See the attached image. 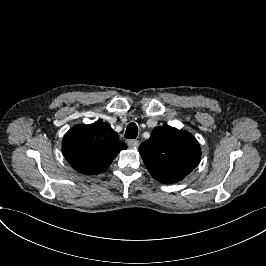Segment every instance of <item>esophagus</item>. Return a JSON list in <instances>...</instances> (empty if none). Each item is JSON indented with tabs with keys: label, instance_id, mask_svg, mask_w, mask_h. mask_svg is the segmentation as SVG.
Masks as SVG:
<instances>
[{
	"label": "esophagus",
	"instance_id": "esophagus-1",
	"mask_svg": "<svg viewBox=\"0 0 266 266\" xmlns=\"http://www.w3.org/2000/svg\"><path fill=\"white\" fill-rule=\"evenodd\" d=\"M127 145L130 148H135V147H138L139 141L138 140H127Z\"/></svg>",
	"mask_w": 266,
	"mask_h": 266
}]
</instances>
